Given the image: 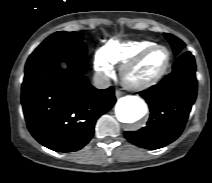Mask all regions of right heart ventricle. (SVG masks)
<instances>
[{"label": "right heart ventricle", "mask_w": 212, "mask_h": 183, "mask_svg": "<svg viewBox=\"0 0 212 183\" xmlns=\"http://www.w3.org/2000/svg\"><path fill=\"white\" fill-rule=\"evenodd\" d=\"M156 44L154 41H109L103 48V52L111 64L123 65L135 57L143 49Z\"/></svg>", "instance_id": "e07e8e85"}]
</instances>
